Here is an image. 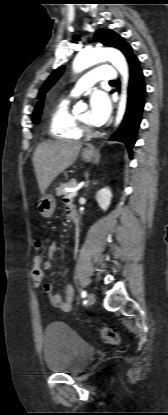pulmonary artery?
I'll return each mask as SVG.
<instances>
[{
	"label": "pulmonary artery",
	"instance_id": "e3ab8cb5",
	"mask_svg": "<svg viewBox=\"0 0 168 415\" xmlns=\"http://www.w3.org/2000/svg\"><path fill=\"white\" fill-rule=\"evenodd\" d=\"M115 78L116 71L112 66L102 65L96 67L78 80V82L75 84L74 88L71 91V96L80 95L82 92H84L100 80L112 81L115 80Z\"/></svg>",
	"mask_w": 168,
	"mask_h": 415
}]
</instances>
